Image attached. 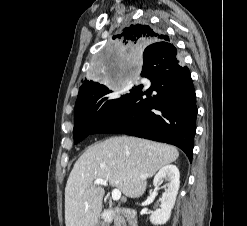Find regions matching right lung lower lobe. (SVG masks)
<instances>
[{
	"mask_svg": "<svg viewBox=\"0 0 247 226\" xmlns=\"http://www.w3.org/2000/svg\"><path fill=\"white\" fill-rule=\"evenodd\" d=\"M141 76L151 81V87L132 88L94 133H125L170 143L192 161L196 95L189 69L177 58L176 48L169 42L148 45Z\"/></svg>",
	"mask_w": 247,
	"mask_h": 226,
	"instance_id": "98d812e1",
	"label": "right lung lower lobe"
}]
</instances>
